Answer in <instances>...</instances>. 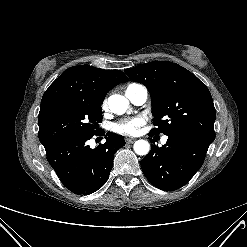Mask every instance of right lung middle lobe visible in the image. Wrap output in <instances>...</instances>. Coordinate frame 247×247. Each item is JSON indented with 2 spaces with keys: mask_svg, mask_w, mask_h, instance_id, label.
<instances>
[{
  "mask_svg": "<svg viewBox=\"0 0 247 247\" xmlns=\"http://www.w3.org/2000/svg\"><path fill=\"white\" fill-rule=\"evenodd\" d=\"M102 101L82 99L54 106L39 115V140L44 147L70 137L96 133L102 120Z\"/></svg>",
  "mask_w": 247,
  "mask_h": 247,
  "instance_id": "obj_1",
  "label": "right lung middle lobe"
}]
</instances>
